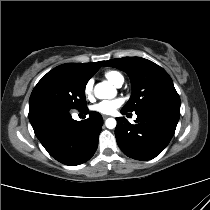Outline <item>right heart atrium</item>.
<instances>
[{
  "label": "right heart atrium",
  "mask_w": 210,
  "mask_h": 210,
  "mask_svg": "<svg viewBox=\"0 0 210 210\" xmlns=\"http://www.w3.org/2000/svg\"><path fill=\"white\" fill-rule=\"evenodd\" d=\"M94 82L92 79L88 80L84 86L83 93L86 99L91 100L93 98Z\"/></svg>",
  "instance_id": "obj_1"
}]
</instances>
